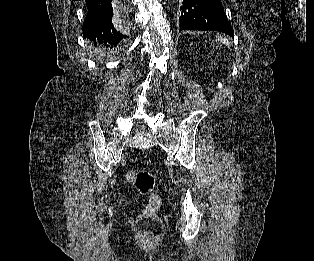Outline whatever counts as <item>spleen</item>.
<instances>
[{
    "mask_svg": "<svg viewBox=\"0 0 314 261\" xmlns=\"http://www.w3.org/2000/svg\"><path fill=\"white\" fill-rule=\"evenodd\" d=\"M218 39H219V41H220L221 43H223V44L226 45V46H230V45H231V43L229 42V40L226 39V38H224V37H222V36H219Z\"/></svg>",
    "mask_w": 314,
    "mask_h": 261,
    "instance_id": "1",
    "label": "spleen"
}]
</instances>
